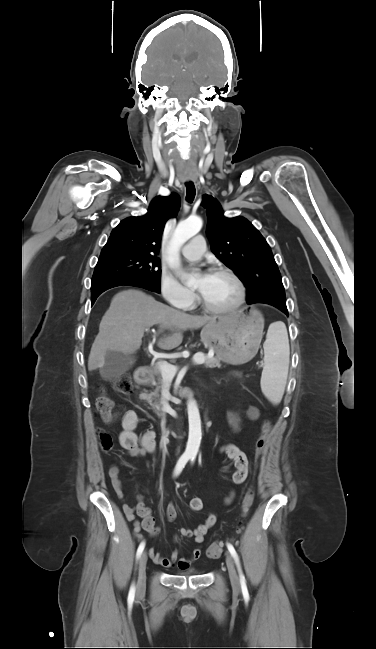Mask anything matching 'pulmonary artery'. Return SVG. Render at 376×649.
<instances>
[{
    "instance_id": "e3ab8cb5",
    "label": "pulmonary artery",
    "mask_w": 376,
    "mask_h": 649,
    "mask_svg": "<svg viewBox=\"0 0 376 649\" xmlns=\"http://www.w3.org/2000/svg\"><path fill=\"white\" fill-rule=\"evenodd\" d=\"M206 244L202 235H196L182 248L183 255L192 260L199 259L205 252Z\"/></svg>"
}]
</instances>
